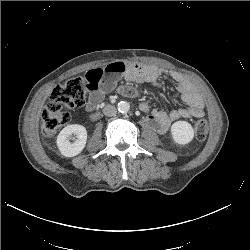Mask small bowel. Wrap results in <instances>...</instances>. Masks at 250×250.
I'll return each mask as SVG.
<instances>
[{
    "instance_id": "small-bowel-1",
    "label": "small bowel",
    "mask_w": 250,
    "mask_h": 250,
    "mask_svg": "<svg viewBox=\"0 0 250 250\" xmlns=\"http://www.w3.org/2000/svg\"><path fill=\"white\" fill-rule=\"evenodd\" d=\"M170 76L176 82V89L185 107L175 108L170 112L151 109L147 104L141 105V110L147 114V122L159 133L167 132L172 123L179 119L202 117L204 103L196 88L182 75L174 71H166L153 65L139 63L114 62L102 68L89 70L85 78L88 82L89 97L86 105L88 111L95 109L103 100L105 94L113 90L125 92L119 85L120 79L134 83H148L161 87L159 78Z\"/></svg>"
}]
</instances>
